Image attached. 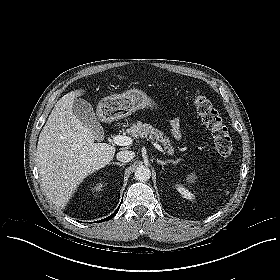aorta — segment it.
Listing matches in <instances>:
<instances>
[{"label": "aorta", "mask_w": 280, "mask_h": 280, "mask_svg": "<svg viewBox=\"0 0 280 280\" xmlns=\"http://www.w3.org/2000/svg\"><path fill=\"white\" fill-rule=\"evenodd\" d=\"M135 179L140 182L148 181L151 177V171L146 166H139L134 173Z\"/></svg>", "instance_id": "obj_1"}]
</instances>
